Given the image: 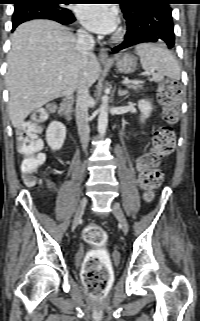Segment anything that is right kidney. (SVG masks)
<instances>
[{
	"label": "right kidney",
	"instance_id": "1",
	"mask_svg": "<svg viewBox=\"0 0 200 321\" xmlns=\"http://www.w3.org/2000/svg\"><path fill=\"white\" fill-rule=\"evenodd\" d=\"M66 138V127L58 121L49 124L46 130L47 144L52 150H59Z\"/></svg>",
	"mask_w": 200,
	"mask_h": 321
}]
</instances>
